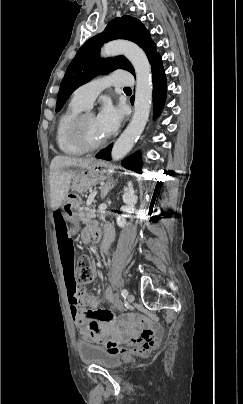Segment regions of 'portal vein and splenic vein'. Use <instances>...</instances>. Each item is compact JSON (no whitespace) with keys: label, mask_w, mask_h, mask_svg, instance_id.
Listing matches in <instances>:
<instances>
[{"label":"portal vein and splenic vein","mask_w":243,"mask_h":404,"mask_svg":"<svg viewBox=\"0 0 243 404\" xmlns=\"http://www.w3.org/2000/svg\"><path fill=\"white\" fill-rule=\"evenodd\" d=\"M95 196H97V190H95V192H90V196H88V200L86 202L87 206H91Z\"/></svg>","instance_id":"1"}]
</instances>
